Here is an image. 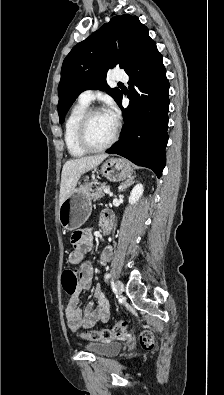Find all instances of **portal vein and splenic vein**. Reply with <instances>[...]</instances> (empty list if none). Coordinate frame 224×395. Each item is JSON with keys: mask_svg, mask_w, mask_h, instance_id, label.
Segmentation results:
<instances>
[{"mask_svg": "<svg viewBox=\"0 0 224 395\" xmlns=\"http://www.w3.org/2000/svg\"><path fill=\"white\" fill-rule=\"evenodd\" d=\"M104 192H105L106 194H111L110 189H105Z\"/></svg>", "mask_w": 224, "mask_h": 395, "instance_id": "portal-vein-and-splenic-vein-1", "label": "portal vein and splenic vein"}]
</instances>
